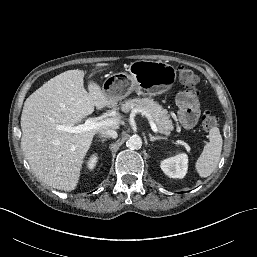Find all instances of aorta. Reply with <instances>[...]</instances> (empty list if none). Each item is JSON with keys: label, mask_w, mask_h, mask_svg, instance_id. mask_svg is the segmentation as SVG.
<instances>
[{"label": "aorta", "mask_w": 257, "mask_h": 257, "mask_svg": "<svg viewBox=\"0 0 257 257\" xmlns=\"http://www.w3.org/2000/svg\"><path fill=\"white\" fill-rule=\"evenodd\" d=\"M126 146L131 150H137L142 146V139L139 136H131L126 141Z\"/></svg>", "instance_id": "762f6f07"}]
</instances>
